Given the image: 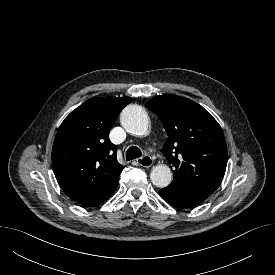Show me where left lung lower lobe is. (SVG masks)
I'll return each mask as SVG.
<instances>
[{"label":"left lung lower lobe","mask_w":275,"mask_h":275,"mask_svg":"<svg viewBox=\"0 0 275 275\" xmlns=\"http://www.w3.org/2000/svg\"><path fill=\"white\" fill-rule=\"evenodd\" d=\"M161 197L177 208H190L203 202L211 193L197 187L167 186L159 191Z\"/></svg>","instance_id":"1"}]
</instances>
